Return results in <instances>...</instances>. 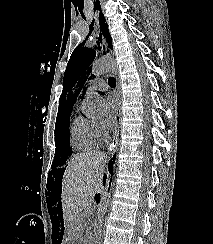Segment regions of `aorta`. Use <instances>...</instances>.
<instances>
[{
    "instance_id": "aorta-1",
    "label": "aorta",
    "mask_w": 213,
    "mask_h": 244,
    "mask_svg": "<svg viewBox=\"0 0 213 244\" xmlns=\"http://www.w3.org/2000/svg\"><path fill=\"white\" fill-rule=\"evenodd\" d=\"M117 70V64L113 58L102 57L94 61L92 65V74L100 76L105 73ZM104 112V102L97 92L90 91L84 99V113L91 118L99 117ZM110 204V193H105L98 205L97 215L99 223L102 226L105 214Z\"/></svg>"
}]
</instances>
